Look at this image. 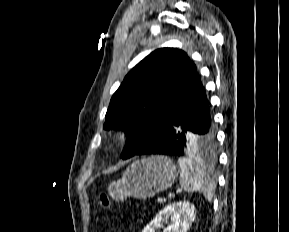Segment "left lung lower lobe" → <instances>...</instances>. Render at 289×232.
Wrapping results in <instances>:
<instances>
[{"label": "left lung lower lobe", "instance_id": "obj_1", "mask_svg": "<svg viewBox=\"0 0 289 232\" xmlns=\"http://www.w3.org/2000/svg\"><path fill=\"white\" fill-rule=\"evenodd\" d=\"M214 142L215 127L199 79L174 110L167 125L135 155L181 156L192 151H209Z\"/></svg>", "mask_w": 289, "mask_h": 232}]
</instances>
